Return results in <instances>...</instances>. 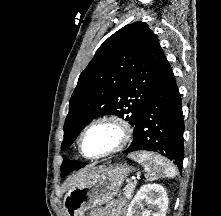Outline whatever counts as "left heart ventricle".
I'll use <instances>...</instances> for the list:
<instances>
[{"instance_id": "b2bd125f", "label": "left heart ventricle", "mask_w": 221, "mask_h": 216, "mask_svg": "<svg viewBox=\"0 0 221 216\" xmlns=\"http://www.w3.org/2000/svg\"><path fill=\"white\" fill-rule=\"evenodd\" d=\"M117 129L109 124H100L89 130L82 143L84 154L93 156L115 145L118 139Z\"/></svg>"}]
</instances>
